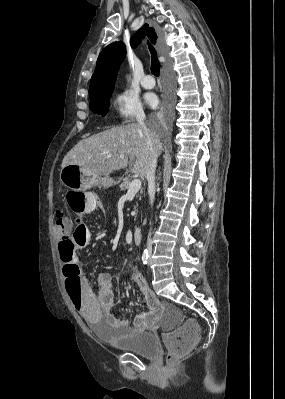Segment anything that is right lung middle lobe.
I'll list each match as a JSON object with an SVG mask.
<instances>
[{"mask_svg": "<svg viewBox=\"0 0 285 399\" xmlns=\"http://www.w3.org/2000/svg\"><path fill=\"white\" fill-rule=\"evenodd\" d=\"M111 94L112 91L91 98L89 105L90 110L94 113L105 116V114L108 112V106Z\"/></svg>", "mask_w": 285, "mask_h": 399, "instance_id": "obj_1", "label": "right lung middle lobe"}]
</instances>
